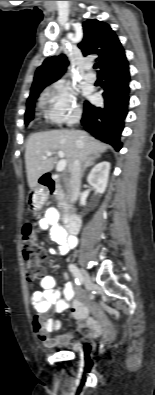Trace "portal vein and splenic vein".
<instances>
[{"label":"portal vein and splenic vein","instance_id":"portal-vein-and-splenic-vein-1","mask_svg":"<svg viewBox=\"0 0 155 395\" xmlns=\"http://www.w3.org/2000/svg\"><path fill=\"white\" fill-rule=\"evenodd\" d=\"M53 153L51 151H48L45 153V155L42 157L43 159H47L48 157H50ZM58 156L61 158V160L58 162L56 170L57 172H62L66 165H67V161L64 159V152L63 151H58Z\"/></svg>","mask_w":155,"mask_h":395}]
</instances>
